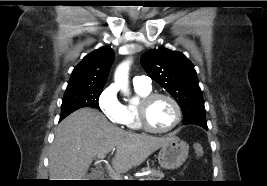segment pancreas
I'll use <instances>...</instances> for the list:
<instances>
[{"instance_id": "1", "label": "pancreas", "mask_w": 267, "mask_h": 186, "mask_svg": "<svg viewBox=\"0 0 267 186\" xmlns=\"http://www.w3.org/2000/svg\"><path fill=\"white\" fill-rule=\"evenodd\" d=\"M144 170H151V173L146 176V181H160L164 177V173L160 170L151 169L150 167H146Z\"/></svg>"}]
</instances>
